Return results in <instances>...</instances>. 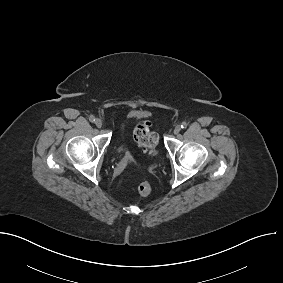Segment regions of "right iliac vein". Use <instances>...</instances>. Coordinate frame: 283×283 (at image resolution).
I'll return each instance as SVG.
<instances>
[{"mask_svg":"<svg viewBox=\"0 0 283 283\" xmlns=\"http://www.w3.org/2000/svg\"><path fill=\"white\" fill-rule=\"evenodd\" d=\"M102 120L101 119H96L95 120V125L98 127V128H100V127H102Z\"/></svg>","mask_w":283,"mask_h":283,"instance_id":"obj_1","label":"right iliac vein"}]
</instances>
